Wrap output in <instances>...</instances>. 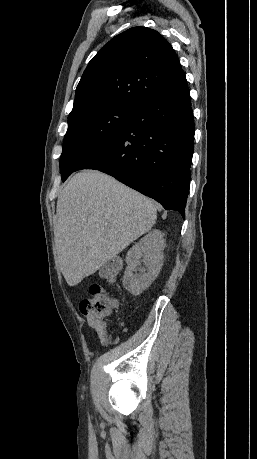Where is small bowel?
Here are the masks:
<instances>
[{"instance_id":"small-bowel-1","label":"small bowel","mask_w":257,"mask_h":459,"mask_svg":"<svg viewBox=\"0 0 257 459\" xmlns=\"http://www.w3.org/2000/svg\"><path fill=\"white\" fill-rule=\"evenodd\" d=\"M117 305V302L115 301L114 307ZM86 324L95 329V331L98 334V337L100 339V342L103 346H106L108 343V334L106 330V325L103 320H97L92 316H87L85 318Z\"/></svg>"}]
</instances>
